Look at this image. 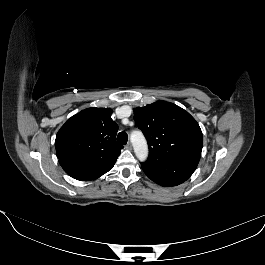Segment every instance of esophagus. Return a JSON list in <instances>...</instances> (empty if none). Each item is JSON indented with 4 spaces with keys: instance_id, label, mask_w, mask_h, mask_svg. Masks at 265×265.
Returning a JSON list of instances; mask_svg holds the SVG:
<instances>
[{
    "instance_id": "1",
    "label": "esophagus",
    "mask_w": 265,
    "mask_h": 265,
    "mask_svg": "<svg viewBox=\"0 0 265 265\" xmlns=\"http://www.w3.org/2000/svg\"><path fill=\"white\" fill-rule=\"evenodd\" d=\"M126 149H128V150H131V149H132V145H131L130 142H128V143L126 144Z\"/></svg>"
}]
</instances>
